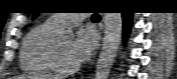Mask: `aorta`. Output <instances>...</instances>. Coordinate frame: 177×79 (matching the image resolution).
I'll use <instances>...</instances> for the list:
<instances>
[{
	"instance_id": "762f6f07",
	"label": "aorta",
	"mask_w": 177,
	"mask_h": 79,
	"mask_svg": "<svg viewBox=\"0 0 177 79\" xmlns=\"http://www.w3.org/2000/svg\"><path fill=\"white\" fill-rule=\"evenodd\" d=\"M104 38L96 67L95 79H108L112 65L115 61L122 34L121 13H105ZM64 38H72V32H64Z\"/></svg>"
}]
</instances>
